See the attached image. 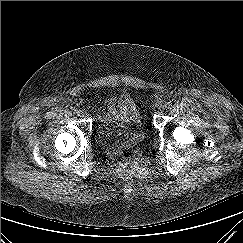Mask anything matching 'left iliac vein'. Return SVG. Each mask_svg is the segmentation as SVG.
Here are the masks:
<instances>
[{
  "label": "left iliac vein",
  "mask_w": 243,
  "mask_h": 243,
  "mask_svg": "<svg viewBox=\"0 0 243 243\" xmlns=\"http://www.w3.org/2000/svg\"><path fill=\"white\" fill-rule=\"evenodd\" d=\"M165 108H166L165 105H160V106H159V110H161V111L164 110Z\"/></svg>",
  "instance_id": "obj_1"
}]
</instances>
